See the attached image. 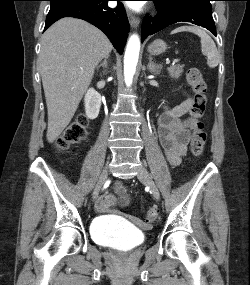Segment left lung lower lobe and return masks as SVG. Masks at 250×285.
Here are the masks:
<instances>
[{"mask_svg": "<svg viewBox=\"0 0 250 285\" xmlns=\"http://www.w3.org/2000/svg\"><path fill=\"white\" fill-rule=\"evenodd\" d=\"M154 1L158 14L154 18L146 16L142 29V42L154 33L166 28L167 26L178 22H190L192 24L204 27L216 36V28L212 17V9L202 7L196 4H187L174 10L165 11L161 5Z\"/></svg>", "mask_w": 250, "mask_h": 285, "instance_id": "1", "label": "left lung lower lobe"}]
</instances>
